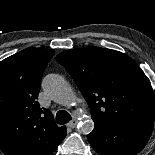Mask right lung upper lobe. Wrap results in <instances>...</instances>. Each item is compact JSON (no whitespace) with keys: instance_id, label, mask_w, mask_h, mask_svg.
I'll use <instances>...</instances> for the list:
<instances>
[{"instance_id":"right-lung-upper-lobe-1","label":"right lung upper lobe","mask_w":155,"mask_h":155,"mask_svg":"<svg viewBox=\"0 0 155 155\" xmlns=\"http://www.w3.org/2000/svg\"><path fill=\"white\" fill-rule=\"evenodd\" d=\"M52 49L27 48L0 62V149L5 155H50L67 134L37 102Z\"/></svg>"}]
</instances>
